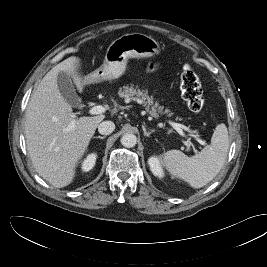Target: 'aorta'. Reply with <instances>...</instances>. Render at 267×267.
I'll use <instances>...</instances> for the list:
<instances>
[{
  "label": "aorta",
  "instance_id": "obj_1",
  "mask_svg": "<svg viewBox=\"0 0 267 267\" xmlns=\"http://www.w3.org/2000/svg\"><path fill=\"white\" fill-rule=\"evenodd\" d=\"M137 138L134 134L126 133L121 137V144L126 148H132L136 145Z\"/></svg>",
  "mask_w": 267,
  "mask_h": 267
}]
</instances>
